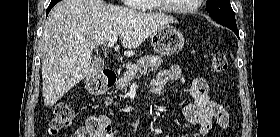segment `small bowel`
<instances>
[{"mask_svg":"<svg viewBox=\"0 0 280 137\" xmlns=\"http://www.w3.org/2000/svg\"><path fill=\"white\" fill-rule=\"evenodd\" d=\"M170 82L187 85L190 101L184 106L183 114L191 124L198 127L202 136L209 134L214 122L221 128L229 126L231 121L230 114L209 96V86L205 78L194 77L187 80L181 67L173 65L159 73L152 82L151 90L155 94H160ZM96 119L103 126L99 133H93L89 122H87L86 125L78 128L72 137H101L99 135L105 133L109 135L107 137H113L110 130V118L106 115H101Z\"/></svg>","mask_w":280,"mask_h":137,"instance_id":"obj_1","label":"small bowel"}]
</instances>
